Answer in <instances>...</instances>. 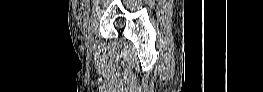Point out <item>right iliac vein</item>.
<instances>
[{
    "label": "right iliac vein",
    "instance_id": "63e3f726",
    "mask_svg": "<svg viewBox=\"0 0 263 92\" xmlns=\"http://www.w3.org/2000/svg\"><path fill=\"white\" fill-rule=\"evenodd\" d=\"M92 41H93L92 34L91 32L88 31L87 34L85 35V43L89 47L92 45Z\"/></svg>",
    "mask_w": 263,
    "mask_h": 92
}]
</instances>
